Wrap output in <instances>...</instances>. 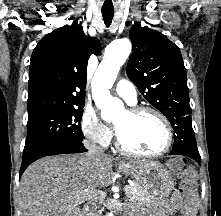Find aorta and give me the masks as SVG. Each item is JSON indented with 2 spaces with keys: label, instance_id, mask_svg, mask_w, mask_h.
I'll list each match as a JSON object with an SVG mask.
<instances>
[{
  "label": "aorta",
  "instance_id": "1",
  "mask_svg": "<svg viewBox=\"0 0 221 216\" xmlns=\"http://www.w3.org/2000/svg\"><path fill=\"white\" fill-rule=\"evenodd\" d=\"M131 42L126 39L113 41L105 51L92 80V97L101 110L103 120L109 122L123 110V103L110 95L109 89L113 86L120 67L124 64L131 52ZM108 216H113L110 212Z\"/></svg>",
  "mask_w": 221,
  "mask_h": 216
}]
</instances>
